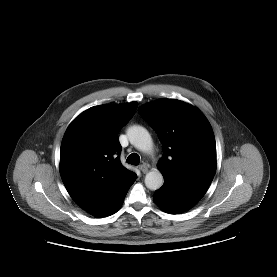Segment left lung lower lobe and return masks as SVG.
<instances>
[{"label":"left lung lower lobe","instance_id":"left-lung-lower-lobe-1","mask_svg":"<svg viewBox=\"0 0 277 277\" xmlns=\"http://www.w3.org/2000/svg\"><path fill=\"white\" fill-rule=\"evenodd\" d=\"M207 189L175 185L164 181L154 194V200L164 211L171 214L185 212L192 208L206 193Z\"/></svg>","mask_w":277,"mask_h":277}]
</instances>
